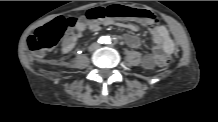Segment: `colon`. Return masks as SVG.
<instances>
[{
    "label": "colon",
    "mask_w": 218,
    "mask_h": 122,
    "mask_svg": "<svg viewBox=\"0 0 218 122\" xmlns=\"http://www.w3.org/2000/svg\"><path fill=\"white\" fill-rule=\"evenodd\" d=\"M92 20H100L105 17L118 18V17H133L142 19L149 25L154 26L157 24V18L148 10L145 9H130L120 5H112L106 9L91 10L87 16ZM77 20L74 18L64 19L57 18L51 23L39 28L35 35L32 37V45L35 50L49 51L56 46L60 37L63 35L67 27H74ZM174 57L167 55L161 57L157 61V66L160 70H165L167 66L172 64Z\"/></svg>",
    "instance_id": "1"
}]
</instances>
